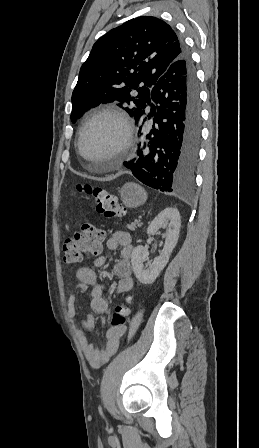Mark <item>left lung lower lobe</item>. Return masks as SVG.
I'll use <instances>...</instances> for the list:
<instances>
[{
  "label": "left lung lower lobe",
  "mask_w": 259,
  "mask_h": 448,
  "mask_svg": "<svg viewBox=\"0 0 259 448\" xmlns=\"http://www.w3.org/2000/svg\"><path fill=\"white\" fill-rule=\"evenodd\" d=\"M134 118L148 132L138 144V157L124 166L142 183L160 191L190 188L198 159L201 110L195 69L184 45L180 59L152 88L146 109ZM149 120L152 125L145 124Z\"/></svg>",
  "instance_id": "obj_1"
}]
</instances>
